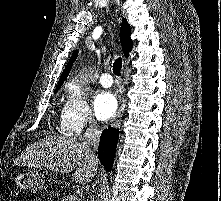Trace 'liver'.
I'll list each match as a JSON object with an SVG mask.
<instances>
[{"instance_id": "liver-1", "label": "liver", "mask_w": 221, "mask_h": 201, "mask_svg": "<svg viewBox=\"0 0 221 201\" xmlns=\"http://www.w3.org/2000/svg\"><path fill=\"white\" fill-rule=\"evenodd\" d=\"M16 165L48 169L61 173L72 170V180L87 184L96 175L98 159L93 158L90 146L62 136H46L22 152Z\"/></svg>"}]
</instances>
